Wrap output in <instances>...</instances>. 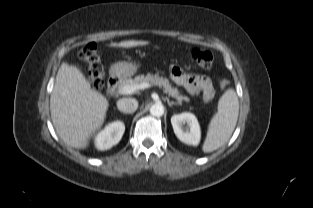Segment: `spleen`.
Masks as SVG:
<instances>
[{"instance_id":"spleen-1","label":"spleen","mask_w":313,"mask_h":208,"mask_svg":"<svg viewBox=\"0 0 313 208\" xmlns=\"http://www.w3.org/2000/svg\"><path fill=\"white\" fill-rule=\"evenodd\" d=\"M239 101L233 89L224 92L218 102V111L212 117L202 150L213 152L223 146L231 137L238 120Z\"/></svg>"}]
</instances>
